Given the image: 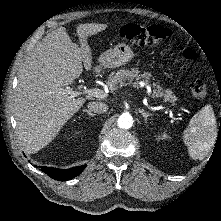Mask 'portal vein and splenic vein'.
<instances>
[{"label": "portal vein and splenic vein", "instance_id": "18ae733b", "mask_svg": "<svg viewBox=\"0 0 221 221\" xmlns=\"http://www.w3.org/2000/svg\"><path fill=\"white\" fill-rule=\"evenodd\" d=\"M67 92H68V94H70L71 98H75L78 95H81L82 93L87 94L89 96L96 97V98H105V97H107V94L103 90L98 89V88H93V89L85 88L83 90V92H77V91H72V90L71 91L68 90Z\"/></svg>", "mask_w": 221, "mask_h": 221}]
</instances>
